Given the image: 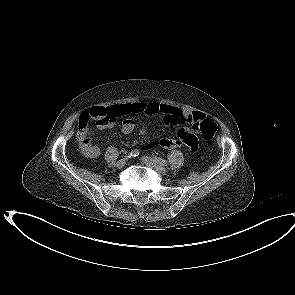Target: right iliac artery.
<instances>
[{
	"label": "right iliac artery",
	"mask_w": 295,
	"mask_h": 295,
	"mask_svg": "<svg viewBox=\"0 0 295 295\" xmlns=\"http://www.w3.org/2000/svg\"><path fill=\"white\" fill-rule=\"evenodd\" d=\"M139 150L138 149H135V150H133V151H131L129 154H128V158H131V157H136V156H138L139 155Z\"/></svg>",
	"instance_id": "82829eb1"
}]
</instances>
